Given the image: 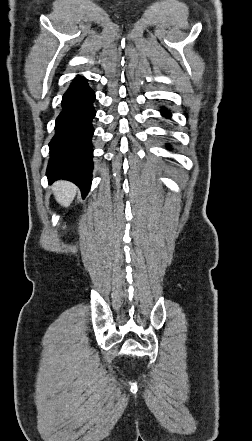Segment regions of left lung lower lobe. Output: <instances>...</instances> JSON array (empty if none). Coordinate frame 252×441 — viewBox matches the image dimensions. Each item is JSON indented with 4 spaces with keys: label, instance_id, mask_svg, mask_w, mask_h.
I'll return each mask as SVG.
<instances>
[{
    "label": "left lung lower lobe",
    "instance_id": "0a47b994",
    "mask_svg": "<svg viewBox=\"0 0 252 441\" xmlns=\"http://www.w3.org/2000/svg\"><path fill=\"white\" fill-rule=\"evenodd\" d=\"M161 112H162L161 114H162L164 117H166V118H170V117H171V113H170L169 110L163 108ZM167 147L169 148L170 146L167 145Z\"/></svg>",
    "mask_w": 252,
    "mask_h": 441
}]
</instances>
